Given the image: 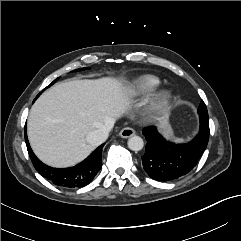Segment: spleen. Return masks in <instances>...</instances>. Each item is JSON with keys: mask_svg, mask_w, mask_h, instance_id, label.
<instances>
[{"mask_svg": "<svg viewBox=\"0 0 241 241\" xmlns=\"http://www.w3.org/2000/svg\"><path fill=\"white\" fill-rule=\"evenodd\" d=\"M176 141L180 142V141H182V139H177Z\"/></svg>", "mask_w": 241, "mask_h": 241, "instance_id": "spleen-1", "label": "spleen"}]
</instances>
